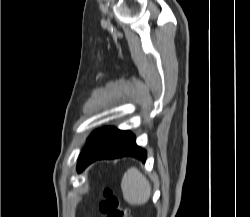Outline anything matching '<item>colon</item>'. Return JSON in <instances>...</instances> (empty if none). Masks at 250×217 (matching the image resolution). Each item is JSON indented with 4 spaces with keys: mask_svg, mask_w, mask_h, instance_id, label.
Here are the masks:
<instances>
[{
    "mask_svg": "<svg viewBox=\"0 0 250 217\" xmlns=\"http://www.w3.org/2000/svg\"><path fill=\"white\" fill-rule=\"evenodd\" d=\"M99 210L104 217H130L119 196L108 188L102 193Z\"/></svg>",
    "mask_w": 250,
    "mask_h": 217,
    "instance_id": "5ec220e1",
    "label": "colon"
}]
</instances>
